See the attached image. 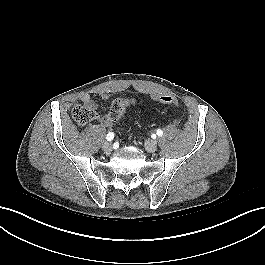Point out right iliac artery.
<instances>
[{
    "label": "right iliac artery",
    "mask_w": 265,
    "mask_h": 265,
    "mask_svg": "<svg viewBox=\"0 0 265 265\" xmlns=\"http://www.w3.org/2000/svg\"><path fill=\"white\" fill-rule=\"evenodd\" d=\"M113 138H114V133H113V132H109V133L107 134L106 139H107L108 141H111V140H113Z\"/></svg>",
    "instance_id": "right-iliac-artery-1"
}]
</instances>
